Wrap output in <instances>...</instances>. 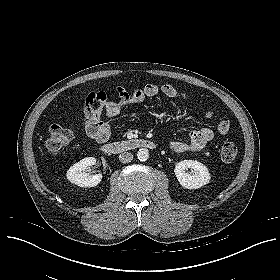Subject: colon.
<instances>
[{
  "label": "colon",
  "instance_id": "obj_1",
  "mask_svg": "<svg viewBox=\"0 0 280 280\" xmlns=\"http://www.w3.org/2000/svg\"><path fill=\"white\" fill-rule=\"evenodd\" d=\"M225 127L230 125L227 117H222L220 122ZM89 133L99 138L103 132L92 126L89 128ZM73 138V133L70 129L62 125H52L48 130V139L46 149L49 153L57 156L70 143ZM237 146L234 143H226L221 148V159L224 162H232L237 156Z\"/></svg>",
  "mask_w": 280,
  "mask_h": 280
}]
</instances>
